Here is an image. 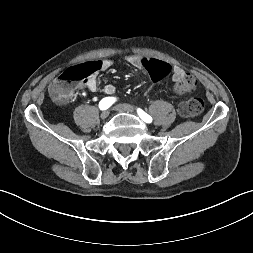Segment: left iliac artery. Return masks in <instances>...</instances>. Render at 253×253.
<instances>
[{
    "instance_id": "left-iliac-artery-1",
    "label": "left iliac artery",
    "mask_w": 253,
    "mask_h": 253,
    "mask_svg": "<svg viewBox=\"0 0 253 253\" xmlns=\"http://www.w3.org/2000/svg\"><path fill=\"white\" fill-rule=\"evenodd\" d=\"M137 112L143 121H145L146 123L152 122V117L148 115L146 112H144L142 109L138 108Z\"/></svg>"
}]
</instances>
